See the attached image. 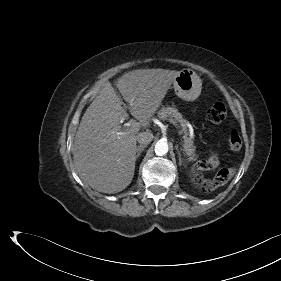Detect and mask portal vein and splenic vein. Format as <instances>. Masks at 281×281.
I'll list each match as a JSON object with an SVG mask.
<instances>
[{"mask_svg": "<svg viewBox=\"0 0 281 281\" xmlns=\"http://www.w3.org/2000/svg\"><path fill=\"white\" fill-rule=\"evenodd\" d=\"M168 121H169L173 126H175L176 129H179L178 124H177L173 119H168ZM127 126H128V129H127L126 132H117L116 134H117L118 136H122V135H126L129 131H138V130H139V123H137V122L132 121V122L128 123ZM179 133H180V132H179Z\"/></svg>", "mask_w": 281, "mask_h": 281, "instance_id": "18ae733b", "label": "portal vein and splenic vein"}]
</instances>
